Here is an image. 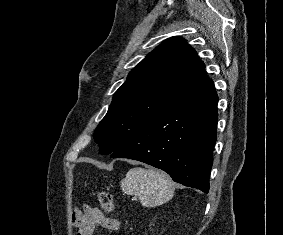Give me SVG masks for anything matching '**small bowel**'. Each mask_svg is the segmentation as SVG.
<instances>
[{
  "mask_svg": "<svg viewBox=\"0 0 283 235\" xmlns=\"http://www.w3.org/2000/svg\"><path fill=\"white\" fill-rule=\"evenodd\" d=\"M72 220L76 235H91L96 226H102L109 231H117L121 228L120 220L107 217L99 209L87 205L81 209H73Z\"/></svg>",
  "mask_w": 283,
  "mask_h": 235,
  "instance_id": "obj_1",
  "label": "small bowel"
}]
</instances>
